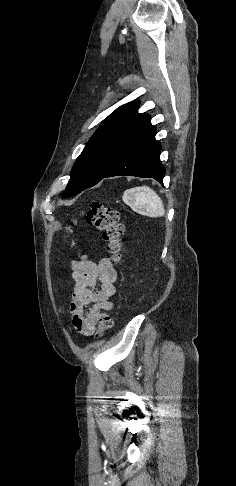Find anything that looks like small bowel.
I'll list each match as a JSON object with an SVG mask.
<instances>
[{
	"instance_id": "1",
	"label": "small bowel",
	"mask_w": 236,
	"mask_h": 486,
	"mask_svg": "<svg viewBox=\"0 0 236 486\" xmlns=\"http://www.w3.org/2000/svg\"><path fill=\"white\" fill-rule=\"evenodd\" d=\"M74 290L70 303L73 327L84 336H91L98 317L114 308L117 271L108 258L98 261L83 259L72 263Z\"/></svg>"
}]
</instances>
